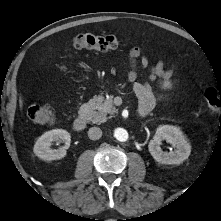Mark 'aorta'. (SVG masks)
<instances>
[{
  "mask_svg": "<svg viewBox=\"0 0 221 221\" xmlns=\"http://www.w3.org/2000/svg\"><path fill=\"white\" fill-rule=\"evenodd\" d=\"M114 137L120 142H125L128 139V132L123 128H116L114 130Z\"/></svg>",
  "mask_w": 221,
  "mask_h": 221,
  "instance_id": "aorta-1",
  "label": "aorta"
}]
</instances>
